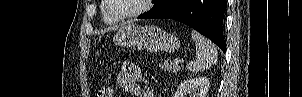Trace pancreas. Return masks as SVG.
<instances>
[{
  "mask_svg": "<svg viewBox=\"0 0 302 97\" xmlns=\"http://www.w3.org/2000/svg\"><path fill=\"white\" fill-rule=\"evenodd\" d=\"M159 67L167 72H177L180 69L178 65H175L174 63L168 61L160 63Z\"/></svg>",
  "mask_w": 302,
  "mask_h": 97,
  "instance_id": "pancreas-1",
  "label": "pancreas"
}]
</instances>
